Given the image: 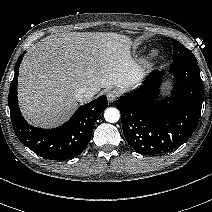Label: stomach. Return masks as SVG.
Wrapping results in <instances>:
<instances>
[{"mask_svg": "<svg viewBox=\"0 0 212 212\" xmlns=\"http://www.w3.org/2000/svg\"><path fill=\"white\" fill-rule=\"evenodd\" d=\"M136 70H137V76H140L143 73V70L137 64H136Z\"/></svg>", "mask_w": 212, "mask_h": 212, "instance_id": "1", "label": "stomach"}]
</instances>
